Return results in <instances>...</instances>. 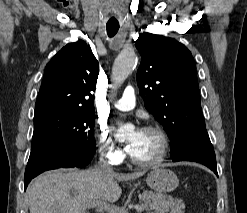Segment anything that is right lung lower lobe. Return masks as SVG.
Listing matches in <instances>:
<instances>
[{
  "label": "right lung lower lobe",
  "mask_w": 247,
  "mask_h": 213,
  "mask_svg": "<svg viewBox=\"0 0 247 213\" xmlns=\"http://www.w3.org/2000/svg\"><path fill=\"white\" fill-rule=\"evenodd\" d=\"M95 151H71L66 144L54 145L39 154L29 157L25 171V189L29 182L40 173L56 168L84 167L94 156Z\"/></svg>",
  "instance_id": "right-lung-lower-lobe-1"
}]
</instances>
